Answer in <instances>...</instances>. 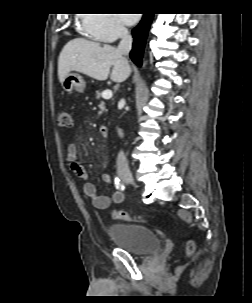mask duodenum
<instances>
[{"instance_id":"1","label":"duodenum","mask_w":252,"mask_h":303,"mask_svg":"<svg viewBox=\"0 0 252 303\" xmlns=\"http://www.w3.org/2000/svg\"><path fill=\"white\" fill-rule=\"evenodd\" d=\"M108 131H109V129H108V126H106V125H102L99 128V133H100L101 137H107L108 136Z\"/></svg>"}]
</instances>
